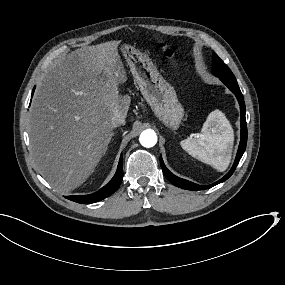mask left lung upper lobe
I'll return each mask as SVG.
<instances>
[{
    "instance_id": "left-lung-upper-lobe-1",
    "label": "left lung upper lobe",
    "mask_w": 285,
    "mask_h": 285,
    "mask_svg": "<svg viewBox=\"0 0 285 285\" xmlns=\"http://www.w3.org/2000/svg\"><path fill=\"white\" fill-rule=\"evenodd\" d=\"M212 73L220 78L221 80L224 79H235L233 73L228 68V66L217 56L216 53H213L212 59Z\"/></svg>"
}]
</instances>
